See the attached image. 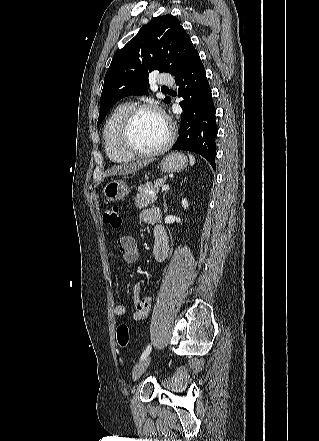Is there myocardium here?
Listing matches in <instances>:
<instances>
[{
  "instance_id": "obj_1",
  "label": "myocardium",
  "mask_w": 319,
  "mask_h": 441,
  "mask_svg": "<svg viewBox=\"0 0 319 441\" xmlns=\"http://www.w3.org/2000/svg\"><path fill=\"white\" fill-rule=\"evenodd\" d=\"M144 111L157 113L167 125V137L165 141L156 149L151 151H143L136 148L130 141V130L137 115ZM176 129L172 120L157 105L151 103H141L131 106L125 114L118 132V142L123 151L132 157H153L164 153L172 145L175 139Z\"/></svg>"
}]
</instances>
